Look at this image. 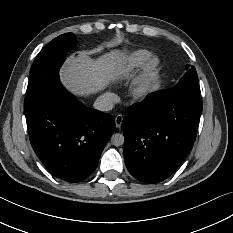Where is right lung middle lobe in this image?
Wrapping results in <instances>:
<instances>
[{"mask_svg":"<svg viewBox=\"0 0 233 233\" xmlns=\"http://www.w3.org/2000/svg\"><path fill=\"white\" fill-rule=\"evenodd\" d=\"M73 33L62 34L44 47L35 58L30 69V80L26 95V105L44 94L59 79V69L66 54L75 44Z\"/></svg>","mask_w":233,"mask_h":233,"instance_id":"1","label":"right lung middle lobe"}]
</instances>
